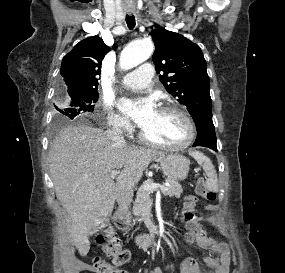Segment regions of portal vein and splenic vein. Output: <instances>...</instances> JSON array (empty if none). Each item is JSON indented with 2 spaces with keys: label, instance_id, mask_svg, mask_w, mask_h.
<instances>
[{
  "label": "portal vein and splenic vein",
  "instance_id": "18ae733b",
  "mask_svg": "<svg viewBox=\"0 0 285 273\" xmlns=\"http://www.w3.org/2000/svg\"><path fill=\"white\" fill-rule=\"evenodd\" d=\"M118 174L119 172L117 170H112L110 175L112 178H115ZM141 188L145 190H149V191H154L157 189H160L162 192L168 191V188L166 186L160 185L158 183H153V182L150 184H145Z\"/></svg>",
  "mask_w": 285,
  "mask_h": 273
}]
</instances>
